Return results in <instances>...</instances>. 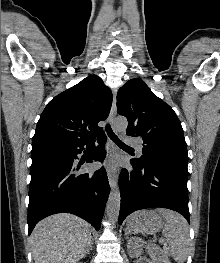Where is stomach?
I'll return each instance as SVG.
<instances>
[{
    "label": "stomach",
    "instance_id": "1",
    "mask_svg": "<svg viewBox=\"0 0 220 263\" xmlns=\"http://www.w3.org/2000/svg\"><path fill=\"white\" fill-rule=\"evenodd\" d=\"M163 226V218L152 210L135 212L127 221V229L130 232L141 234H154Z\"/></svg>",
    "mask_w": 220,
    "mask_h": 263
}]
</instances>
